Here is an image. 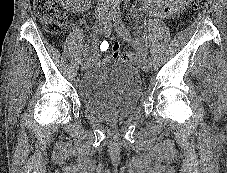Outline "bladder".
Masks as SVG:
<instances>
[{
    "mask_svg": "<svg viewBox=\"0 0 227 173\" xmlns=\"http://www.w3.org/2000/svg\"><path fill=\"white\" fill-rule=\"evenodd\" d=\"M142 95L138 70L122 61L107 60L91 67L78 85L83 108L107 122H118L132 115Z\"/></svg>",
    "mask_w": 227,
    "mask_h": 173,
    "instance_id": "1",
    "label": "bladder"
}]
</instances>
